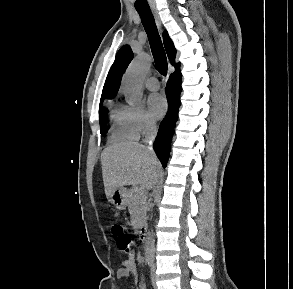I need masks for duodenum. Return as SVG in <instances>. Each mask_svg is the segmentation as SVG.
I'll return each mask as SVG.
<instances>
[{
    "label": "duodenum",
    "mask_w": 293,
    "mask_h": 289,
    "mask_svg": "<svg viewBox=\"0 0 293 289\" xmlns=\"http://www.w3.org/2000/svg\"><path fill=\"white\" fill-rule=\"evenodd\" d=\"M139 239L142 243H145L148 238V230L146 226H143L138 232Z\"/></svg>",
    "instance_id": "duodenum-1"
}]
</instances>
